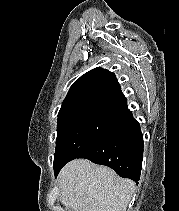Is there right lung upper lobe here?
Segmentation results:
<instances>
[{
  "instance_id": "right-lung-upper-lobe-1",
  "label": "right lung upper lobe",
  "mask_w": 179,
  "mask_h": 211,
  "mask_svg": "<svg viewBox=\"0 0 179 211\" xmlns=\"http://www.w3.org/2000/svg\"><path fill=\"white\" fill-rule=\"evenodd\" d=\"M125 96L114 73L94 68L82 75L70 88L60 108L58 119L83 111L123 112Z\"/></svg>"
}]
</instances>
